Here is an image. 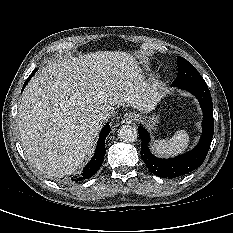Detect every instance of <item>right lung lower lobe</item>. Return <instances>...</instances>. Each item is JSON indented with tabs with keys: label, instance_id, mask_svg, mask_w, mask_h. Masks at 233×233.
<instances>
[{
	"label": "right lung lower lobe",
	"instance_id": "obj_1",
	"mask_svg": "<svg viewBox=\"0 0 233 233\" xmlns=\"http://www.w3.org/2000/svg\"><path fill=\"white\" fill-rule=\"evenodd\" d=\"M35 72H36V69L32 72V74L26 80L23 87L26 86L27 82L30 80V78L32 77V75H34ZM109 132H110V126H109V123H107L100 133V137L97 143V148L95 150L93 158L86 165L81 175H78L72 178L73 181H82L84 179H89L98 171V169L100 168L104 160V156L106 152L105 139L107 135L109 134Z\"/></svg>",
	"mask_w": 233,
	"mask_h": 233
}]
</instances>
